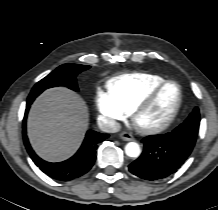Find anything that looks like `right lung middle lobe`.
Returning <instances> with one entry per match:
<instances>
[{"label": "right lung middle lobe", "mask_w": 218, "mask_h": 210, "mask_svg": "<svg viewBox=\"0 0 218 210\" xmlns=\"http://www.w3.org/2000/svg\"><path fill=\"white\" fill-rule=\"evenodd\" d=\"M89 68L90 66L87 65L63 64L39 81L33 87L30 95H39L45 89L55 86H65L74 91H78L76 76Z\"/></svg>", "instance_id": "right-lung-middle-lobe-1"}]
</instances>
